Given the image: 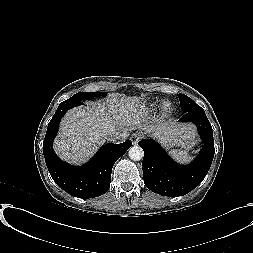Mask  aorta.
Masks as SVG:
<instances>
[{"label": "aorta", "instance_id": "762f6f07", "mask_svg": "<svg viewBox=\"0 0 253 253\" xmlns=\"http://www.w3.org/2000/svg\"><path fill=\"white\" fill-rule=\"evenodd\" d=\"M128 155L131 160L140 161L144 156V151L140 146L135 145L129 148Z\"/></svg>", "mask_w": 253, "mask_h": 253}]
</instances>
